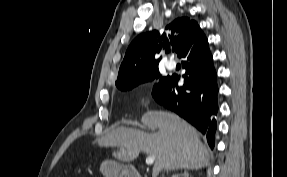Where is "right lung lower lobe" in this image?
Segmentation results:
<instances>
[{
	"mask_svg": "<svg viewBox=\"0 0 287 177\" xmlns=\"http://www.w3.org/2000/svg\"><path fill=\"white\" fill-rule=\"evenodd\" d=\"M184 58V84L178 86L179 76H167L153 88L152 95L164 107L176 112L194 125L211 148L215 144L218 111L217 75L208 41L203 32L193 36L178 55Z\"/></svg>",
	"mask_w": 287,
	"mask_h": 177,
	"instance_id": "right-lung-lower-lobe-1",
	"label": "right lung lower lobe"
}]
</instances>
